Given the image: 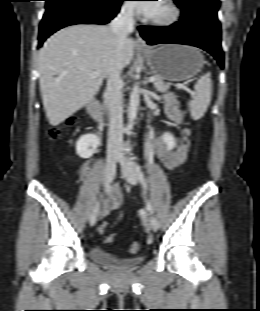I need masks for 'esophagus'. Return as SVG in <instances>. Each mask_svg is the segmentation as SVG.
Wrapping results in <instances>:
<instances>
[{
	"instance_id": "obj_1",
	"label": "esophagus",
	"mask_w": 260,
	"mask_h": 311,
	"mask_svg": "<svg viewBox=\"0 0 260 311\" xmlns=\"http://www.w3.org/2000/svg\"><path fill=\"white\" fill-rule=\"evenodd\" d=\"M135 44H136V46H138V47H146V42H145L144 39L139 35V33L136 34Z\"/></svg>"
}]
</instances>
